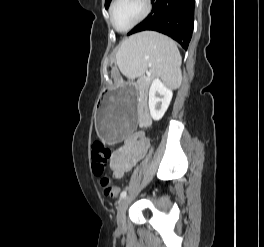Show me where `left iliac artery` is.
I'll return each mask as SVG.
<instances>
[{
	"mask_svg": "<svg viewBox=\"0 0 264 247\" xmlns=\"http://www.w3.org/2000/svg\"><path fill=\"white\" fill-rule=\"evenodd\" d=\"M126 194H127V192H126V191H122V192H121V194H120V197H121V198H123V197H125V196H126Z\"/></svg>",
	"mask_w": 264,
	"mask_h": 247,
	"instance_id": "left-iliac-artery-1",
	"label": "left iliac artery"
}]
</instances>
